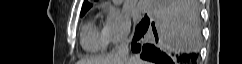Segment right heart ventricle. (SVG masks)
Returning <instances> with one entry per match:
<instances>
[{
  "label": "right heart ventricle",
  "instance_id": "e07e8e85",
  "mask_svg": "<svg viewBox=\"0 0 242 64\" xmlns=\"http://www.w3.org/2000/svg\"><path fill=\"white\" fill-rule=\"evenodd\" d=\"M81 45L90 53L103 51L106 48L107 42L103 30H100L94 21H89L83 26Z\"/></svg>",
  "mask_w": 242,
  "mask_h": 64
}]
</instances>
